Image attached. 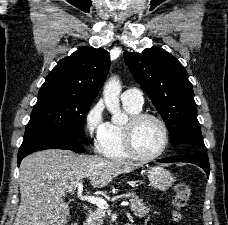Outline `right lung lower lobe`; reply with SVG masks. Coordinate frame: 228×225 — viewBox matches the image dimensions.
<instances>
[{
    "mask_svg": "<svg viewBox=\"0 0 228 225\" xmlns=\"http://www.w3.org/2000/svg\"><path fill=\"white\" fill-rule=\"evenodd\" d=\"M43 149H65L76 152H84L80 139L65 132L36 131L26 133L18 152V166L21 160L33 152Z\"/></svg>",
    "mask_w": 228,
    "mask_h": 225,
    "instance_id": "1",
    "label": "right lung lower lobe"
}]
</instances>
